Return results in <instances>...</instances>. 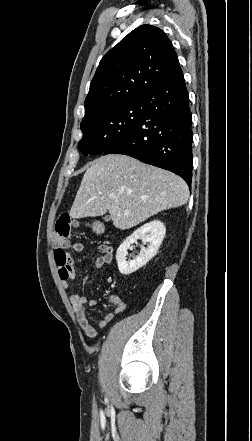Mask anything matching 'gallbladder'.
Segmentation results:
<instances>
[{
  "label": "gallbladder",
  "mask_w": 252,
  "mask_h": 441,
  "mask_svg": "<svg viewBox=\"0 0 252 441\" xmlns=\"http://www.w3.org/2000/svg\"><path fill=\"white\" fill-rule=\"evenodd\" d=\"M110 218L108 216L104 217L105 221H108Z\"/></svg>",
  "instance_id": "obj_1"
}]
</instances>
